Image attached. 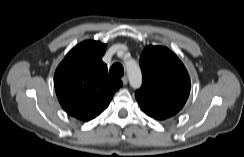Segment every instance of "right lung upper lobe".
Segmentation results:
<instances>
[{"mask_svg": "<svg viewBox=\"0 0 244 157\" xmlns=\"http://www.w3.org/2000/svg\"><path fill=\"white\" fill-rule=\"evenodd\" d=\"M105 50V44L85 41L75 46L55 71L54 86L61 106L82 121L97 117L122 86L101 60Z\"/></svg>", "mask_w": 244, "mask_h": 157, "instance_id": "right-lung-upper-lobe-1", "label": "right lung upper lobe"}]
</instances>
